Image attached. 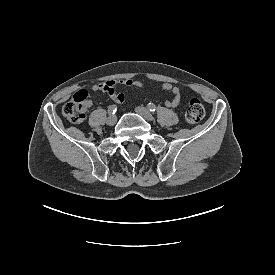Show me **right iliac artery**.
<instances>
[{"label":"right iliac artery","mask_w":275,"mask_h":275,"mask_svg":"<svg viewBox=\"0 0 275 275\" xmlns=\"http://www.w3.org/2000/svg\"><path fill=\"white\" fill-rule=\"evenodd\" d=\"M116 110H117V106L116 105H111L108 108L109 114H115Z\"/></svg>","instance_id":"82829eb1"}]
</instances>
